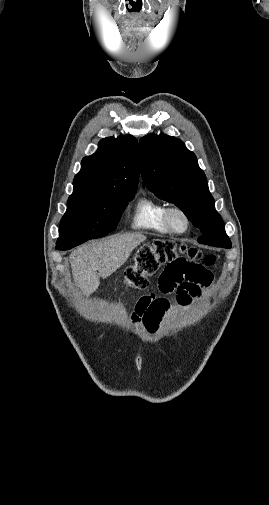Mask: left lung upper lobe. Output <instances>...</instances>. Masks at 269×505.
Masks as SVG:
<instances>
[{
	"label": "left lung upper lobe",
	"instance_id": "5c2ea615",
	"mask_svg": "<svg viewBox=\"0 0 269 505\" xmlns=\"http://www.w3.org/2000/svg\"><path fill=\"white\" fill-rule=\"evenodd\" d=\"M139 154L146 187L184 212L202 232L198 242L231 248L224 222L215 210L207 178L195 154L181 140L164 134L141 138Z\"/></svg>",
	"mask_w": 269,
	"mask_h": 505
}]
</instances>
